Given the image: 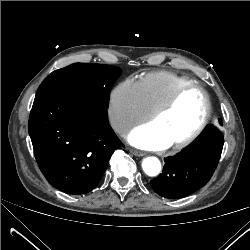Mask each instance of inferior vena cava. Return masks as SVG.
Wrapping results in <instances>:
<instances>
[{
	"mask_svg": "<svg viewBox=\"0 0 250 250\" xmlns=\"http://www.w3.org/2000/svg\"><path fill=\"white\" fill-rule=\"evenodd\" d=\"M111 126L118 133H123L129 128V124L127 122L120 120L112 121Z\"/></svg>",
	"mask_w": 250,
	"mask_h": 250,
	"instance_id": "inferior-vena-cava-1",
	"label": "inferior vena cava"
}]
</instances>
